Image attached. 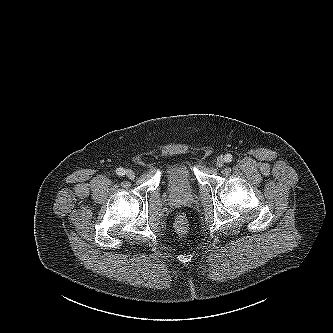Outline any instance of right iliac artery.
<instances>
[{
	"label": "right iliac artery",
	"instance_id": "1",
	"mask_svg": "<svg viewBox=\"0 0 333 333\" xmlns=\"http://www.w3.org/2000/svg\"><path fill=\"white\" fill-rule=\"evenodd\" d=\"M116 174H118L120 176L125 175V169H123V168H117L116 169Z\"/></svg>",
	"mask_w": 333,
	"mask_h": 333
}]
</instances>
